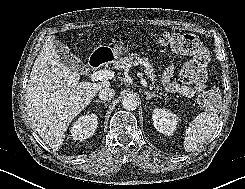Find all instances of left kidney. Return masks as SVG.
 <instances>
[{
  "label": "left kidney",
  "instance_id": "1",
  "mask_svg": "<svg viewBox=\"0 0 245 189\" xmlns=\"http://www.w3.org/2000/svg\"><path fill=\"white\" fill-rule=\"evenodd\" d=\"M154 127L162 134L172 135L176 129L177 116L166 109H154L152 114Z\"/></svg>",
  "mask_w": 245,
  "mask_h": 189
}]
</instances>
